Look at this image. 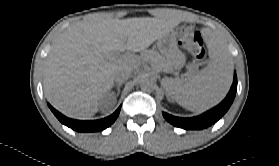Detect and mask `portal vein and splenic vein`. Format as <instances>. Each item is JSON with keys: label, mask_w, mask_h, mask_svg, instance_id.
Returning a JSON list of instances; mask_svg holds the SVG:
<instances>
[{"label": "portal vein and splenic vein", "mask_w": 279, "mask_h": 166, "mask_svg": "<svg viewBox=\"0 0 279 166\" xmlns=\"http://www.w3.org/2000/svg\"><path fill=\"white\" fill-rule=\"evenodd\" d=\"M108 59L113 62H120V61L128 60L129 57L128 56H119L117 53H115V54L109 55Z\"/></svg>", "instance_id": "18ae733b"}]
</instances>
